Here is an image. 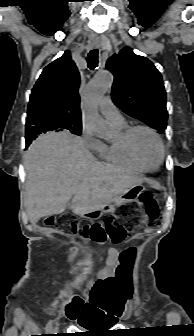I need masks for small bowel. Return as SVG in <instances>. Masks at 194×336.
Segmentation results:
<instances>
[{
    "mask_svg": "<svg viewBox=\"0 0 194 336\" xmlns=\"http://www.w3.org/2000/svg\"><path fill=\"white\" fill-rule=\"evenodd\" d=\"M120 253L109 249L104 260L106 266L96 279L91 280L86 288L87 305L81 314V326L112 325L120 317V304L125 299L124 288L116 276V267Z\"/></svg>",
    "mask_w": 194,
    "mask_h": 336,
    "instance_id": "small-bowel-1",
    "label": "small bowel"
}]
</instances>
